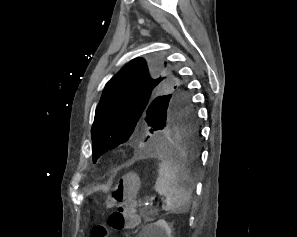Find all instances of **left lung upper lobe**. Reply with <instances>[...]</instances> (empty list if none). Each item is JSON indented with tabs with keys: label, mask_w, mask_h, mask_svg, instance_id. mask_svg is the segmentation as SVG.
I'll return each instance as SVG.
<instances>
[{
	"label": "left lung upper lobe",
	"mask_w": 297,
	"mask_h": 237,
	"mask_svg": "<svg viewBox=\"0 0 297 237\" xmlns=\"http://www.w3.org/2000/svg\"><path fill=\"white\" fill-rule=\"evenodd\" d=\"M180 102L192 104L188 89L166 63L132 60L106 84L96 108L91 129L93 162L119 145L138 156Z\"/></svg>",
	"instance_id": "left-lung-upper-lobe-1"
}]
</instances>
